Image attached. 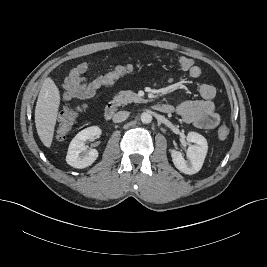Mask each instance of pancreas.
<instances>
[{"mask_svg": "<svg viewBox=\"0 0 267 267\" xmlns=\"http://www.w3.org/2000/svg\"><path fill=\"white\" fill-rule=\"evenodd\" d=\"M113 101L117 103V105H126L131 102H141L142 98H140L133 91H120L114 98Z\"/></svg>", "mask_w": 267, "mask_h": 267, "instance_id": "pancreas-1", "label": "pancreas"}]
</instances>
